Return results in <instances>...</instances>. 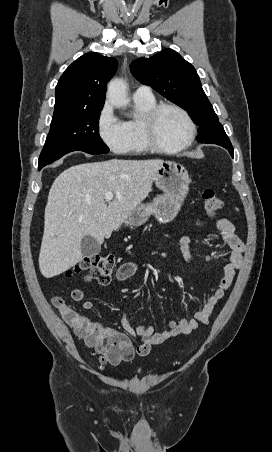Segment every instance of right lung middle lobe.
Here are the masks:
<instances>
[{
  "label": "right lung middle lobe",
  "mask_w": 272,
  "mask_h": 452,
  "mask_svg": "<svg viewBox=\"0 0 272 452\" xmlns=\"http://www.w3.org/2000/svg\"><path fill=\"white\" fill-rule=\"evenodd\" d=\"M102 108L52 117L49 134L39 157V164L55 161L72 151L104 154L109 148L98 133Z\"/></svg>",
  "instance_id": "dd1d6c3e"
}]
</instances>
